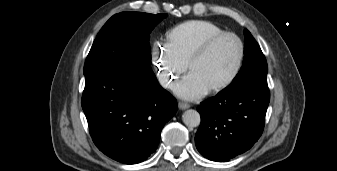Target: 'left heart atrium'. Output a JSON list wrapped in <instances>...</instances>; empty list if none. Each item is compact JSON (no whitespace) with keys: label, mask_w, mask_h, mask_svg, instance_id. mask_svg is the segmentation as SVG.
<instances>
[{"label":"left heart atrium","mask_w":337,"mask_h":171,"mask_svg":"<svg viewBox=\"0 0 337 171\" xmlns=\"http://www.w3.org/2000/svg\"><path fill=\"white\" fill-rule=\"evenodd\" d=\"M175 91L180 97L195 99L205 95L209 87L195 73L190 72L175 86Z\"/></svg>","instance_id":"1"}]
</instances>
